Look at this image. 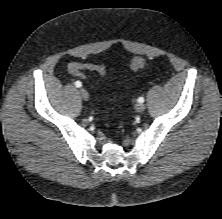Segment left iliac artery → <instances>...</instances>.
I'll return each instance as SVG.
<instances>
[{"label": "left iliac artery", "instance_id": "obj_1", "mask_svg": "<svg viewBox=\"0 0 222 219\" xmlns=\"http://www.w3.org/2000/svg\"><path fill=\"white\" fill-rule=\"evenodd\" d=\"M138 102L143 103L144 102V98L143 97H139L138 98Z\"/></svg>", "mask_w": 222, "mask_h": 219}]
</instances>
